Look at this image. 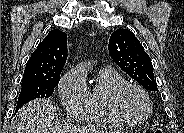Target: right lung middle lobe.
Wrapping results in <instances>:
<instances>
[{
	"label": "right lung middle lobe",
	"mask_w": 184,
	"mask_h": 133,
	"mask_svg": "<svg viewBox=\"0 0 184 133\" xmlns=\"http://www.w3.org/2000/svg\"><path fill=\"white\" fill-rule=\"evenodd\" d=\"M59 81L60 76L50 78L49 80L21 81L22 88L19 94L16 111L31 100L50 97L54 92V88L58 86Z\"/></svg>",
	"instance_id": "right-lung-middle-lobe-1"
}]
</instances>
